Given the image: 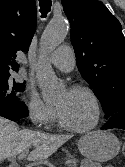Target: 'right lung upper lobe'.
Here are the masks:
<instances>
[{
  "label": "right lung upper lobe",
  "instance_id": "cb5924a9",
  "mask_svg": "<svg viewBox=\"0 0 125 167\" xmlns=\"http://www.w3.org/2000/svg\"><path fill=\"white\" fill-rule=\"evenodd\" d=\"M35 0H0V75L17 71V51H28L36 29Z\"/></svg>",
  "mask_w": 125,
  "mask_h": 167
}]
</instances>
